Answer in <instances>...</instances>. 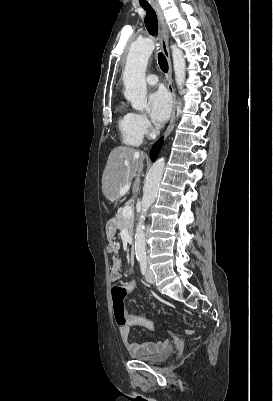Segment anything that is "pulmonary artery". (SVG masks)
Listing matches in <instances>:
<instances>
[{"label":"pulmonary artery","mask_w":273,"mask_h":401,"mask_svg":"<svg viewBox=\"0 0 273 401\" xmlns=\"http://www.w3.org/2000/svg\"><path fill=\"white\" fill-rule=\"evenodd\" d=\"M147 80H148L150 83H157L158 80H159V77H158L157 74H150V75L147 77Z\"/></svg>","instance_id":"pulmonary-artery-1"}]
</instances>
